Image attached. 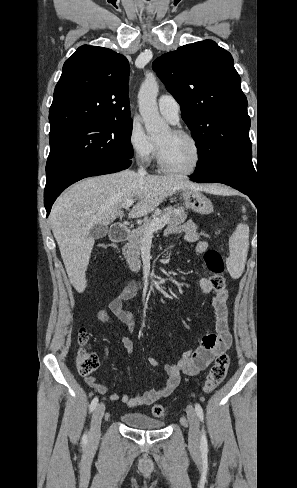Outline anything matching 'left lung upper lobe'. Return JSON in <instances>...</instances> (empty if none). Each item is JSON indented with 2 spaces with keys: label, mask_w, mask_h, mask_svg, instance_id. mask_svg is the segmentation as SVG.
<instances>
[{
  "label": "left lung upper lobe",
  "mask_w": 297,
  "mask_h": 488,
  "mask_svg": "<svg viewBox=\"0 0 297 488\" xmlns=\"http://www.w3.org/2000/svg\"><path fill=\"white\" fill-rule=\"evenodd\" d=\"M231 54L212 40L179 47L153 62V70L180 104L197 141L195 174L234 171L256 180L247 98Z\"/></svg>",
  "instance_id": "obj_1"
}]
</instances>
